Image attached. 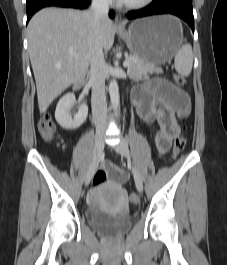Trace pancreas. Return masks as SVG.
I'll return each instance as SVG.
<instances>
[{
    "label": "pancreas",
    "mask_w": 227,
    "mask_h": 265,
    "mask_svg": "<svg viewBox=\"0 0 227 265\" xmlns=\"http://www.w3.org/2000/svg\"><path fill=\"white\" fill-rule=\"evenodd\" d=\"M128 61L129 66L127 67V74L132 80L140 79L148 74L163 73L161 68L155 67L151 64H146L136 57H131Z\"/></svg>",
    "instance_id": "1"
}]
</instances>
